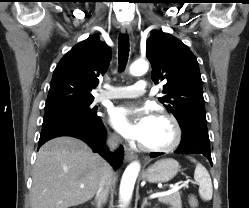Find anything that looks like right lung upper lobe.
Segmentation results:
<instances>
[{
    "mask_svg": "<svg viewBox=\"0 0 249 208\" xmlns=\"http://www.w3.org/2000/svg\"><path fill=\"white\" fill-rule=\"evenodd\" d=\"M111 60V51L98 36L76 44L57 64L45 108L93 100L91 94Z\"/></svg>",
    "mask_w": 249,
    "mask_h": 208,
    "instance_id": "1",
    "label": "right lung upper lobe"
}]
</instances>
